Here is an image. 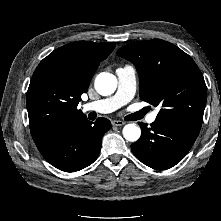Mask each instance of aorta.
Segmentation results:
<instances>
[{
	"mask_svg": "<svg viewBox=\"0 0 221 221\" xmlns=\"http://www.w3.org/2000/svg\"><path fill=\"white\" fill-rule=\"evenodd\" d=\"M95 89L102 96L115 92L117 87L116 77L107 72H102L95 79ZM123 136L127 141L136 142L141 136V129L136 124H127L123 128Z\"/></svg>",
	"mask_w": 221,
	"mask_h": 221,
	"instance_id": "aorta-1",
	"label": "aorta"
}]
</instances>
